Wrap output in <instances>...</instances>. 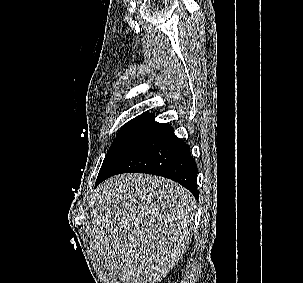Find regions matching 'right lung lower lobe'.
<instances>
[{
	"label": "right lung lower lobe",
	"instance_id": "1",
	"mask_svg": "<svg viewBox=\"0 0 303 283\" xmlns=\"http://www.w3.org/2000/svg\"><path fill=\"white\" fill-rule=\"evenodd\" d=\"M126 172L169 178L198 197L195 159L191 155L190 147L173 133V128L168 123L154 121L111 169L97 178L95 187L113 175Z\"/></svg>",
	"mask_w": 303,
	"mask_h": 283
}]
</instances>
